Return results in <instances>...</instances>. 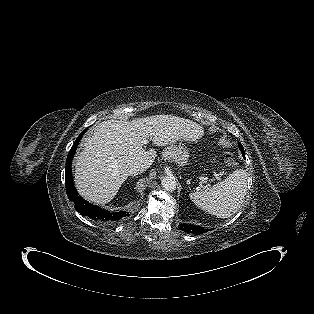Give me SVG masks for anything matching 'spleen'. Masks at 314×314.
Instances as JSON below:
<instances>
[{"instance_id":"obj_1","label":"spleen","mask_w":314,"mask_h":314,"mask_svg":"<svg viewBox=\"0 0 314 314\" xmlns=\"http://www.w3.org/2000/svg\"><path fill=\"white\" fill-rule=\"evenodd\" d=\"M245 170L234 171L227 179L212 188L189 194L192 202L203 211L219 218H228L237 213L247 191Z\"/></svg>"}]
</instances>
